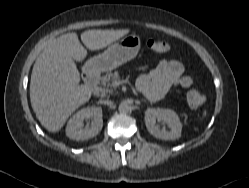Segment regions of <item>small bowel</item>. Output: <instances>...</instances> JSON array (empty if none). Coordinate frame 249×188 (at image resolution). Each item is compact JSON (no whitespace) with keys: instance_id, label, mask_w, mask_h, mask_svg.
<instances>
[{"instance_id":"small-bowel-1","label":"small bowel","mask_w":249,"mask_h":188,"mask_svg":"<svg viewBox=\"0 0 249 188\" xmlns=\"http://www.w3.org/2000/svg\"><path fill=\"white\" fill-rule=\"evenodd\" d=\"M192 84V78L184 75L181 62L162 60L152 71L138 78L136 87L149 100H158L172 87L188 88Z\"/></svg>"}]
</instances>
